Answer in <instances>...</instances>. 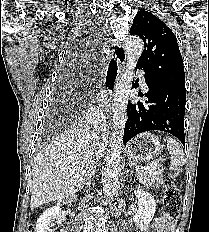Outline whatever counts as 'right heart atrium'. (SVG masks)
<instances>
[{
    "instance_id": "d8ad5b80",
    "label": "right heart atrium",
    "mask_w": 209,
    "mask_h": 232,
    "mask_svg": "<svg viewBox=\"0 0 209 232\" xmlns=\"http://www.w3.org/2000/svg\"><path fill=\"white\" fill-rule=\"evenodd\" d=\"M87 118L90 121H99L101 119V114L96 108H90L87 113Z\"/></svg>"
}]
</instances>
